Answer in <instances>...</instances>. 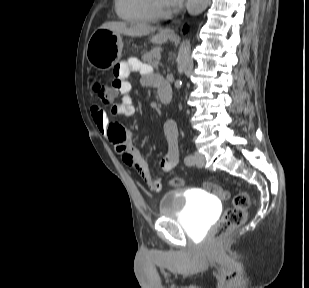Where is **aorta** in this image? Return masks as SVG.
I'll return each instance as SVG.
<instances>
[{
	"mask_svg": "<svg viewBox=\"0 0 309 288\" xmlns=\"http://www.w3.org/2000/svg\"><path fill=\"white\" fill-rule=\"evenodd\" d=\"M211 0H187L186 8L190 15L196 16L201 14L210 4ZM191 44L189 40L183 41L179 48L177 57V68L179 74H182L190 58Z\"/></svg>",
	"mask_w": 309,
	"mask_h": 288,
	"instance_id": "aorta-1",
	"label": "aorta"
}]
</instances>
